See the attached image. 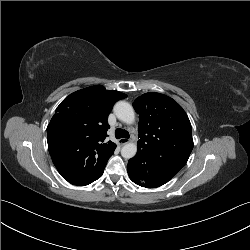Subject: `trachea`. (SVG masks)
<instances>
[{"label":"trachea","instance_id":"obj_1","mask_svg":"<svg viewBox=\"0 0 250 250\" xmlns=\"http://www.w3.org/2000/svg\"><path fill=\"white\" fill-rule=\"evenodd\" d=\"M115 137L117 139H119V138H129V133L126 130H123L121 128H117L115 130Z\"/></svg>","mask_w":250,"mask_h":250}]
</instances>
